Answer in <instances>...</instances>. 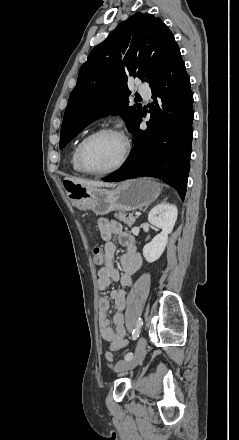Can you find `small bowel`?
Instances as JSON below:
<instances>
[{
    "label": "small bowel",
    "mask_w": 239,
    "mask_h": 440,
    "mask_svg": "<svg viewBox=\"0 0 239 440\" xmlns=\"http://www.w3.org/2000/svg\"><path fill=\"white\" fill-rule=\"evenodd\" d=\"M100 238L105 242L103 257L104 265L98 271L97 286L103 291L112 281H118L124 288L133 285V276L140 269L142 257L138 251L135 239L123 231L122 225L116 221L101 218L98 221ZM118 245L126 248V253L120 258V274L113 264V257ZM125 291L115 289L110 292V299L100 297L98 300L99 331L101 337L107 342L111 351H121L127 345L125 338L124 314L126 306ZM110 300L115 304L116 313L112 319L107 315ZM113 324V327L111 326Z\"/></svg>",
    "instance_id": "c3829d8e"
}]
</instances>
